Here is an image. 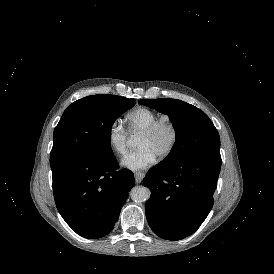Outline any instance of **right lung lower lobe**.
Segmentation results:
<instances>
[{"mask_svg": "<svg viewBox=\"0 0 274 274\" xmlns=\"http://www.w3.org/2000/svg\"><path fill=\"white\" fill-rule=\"evenodd\" d=\"M51 169L56 206L66 223L85 238L108 234L135 184L133 173L119 169L114 155L71 158Z\"/></svg>", "mask_w": 274, "mask_h": 274, "instance_id": "1", "label": "right lung lower lobe"}]
</instances>
